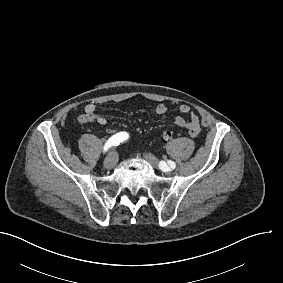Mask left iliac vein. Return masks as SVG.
<instances>
[{"label":"left iliac vein","mask_w":283,"mask_h":283,"mask_svg":"<svg viewBox=\"0 0 283 283\" xmlns=\"http://www.w3.org/2000/svg\"><path fill=\"white\" fill-rule=\"evenodd\" d=\"M143 156L149 163H151L152 165H155V166H159L163 171H165V172L171 171V168L166 166L165 164H163V165L159 164L158 160L152 154L144 153Z\"/></svg>","instance_id":"left-iliac-vein-1"}]
</instances>
